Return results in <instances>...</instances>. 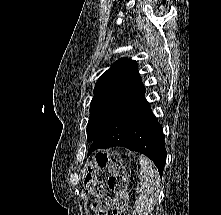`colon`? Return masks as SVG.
<instances>
[{
	"mask_svg": "<svg viewBox=\"0 0 221 215\" xmlns=\"http://www.w3.org/2000/svg\"><path fill=\"white\" fill-rule=\"evenodd\" d=\"M108 168L111 176L108 180L114 198L105 194L102 173ZM84 183L93 197L92 211L94 215H130L129 196L127 193V175L120 156L114 152H97L92 157L84 176Z\"/></svg>",
	"mask_w": 221,
	"mask_h": 215,
	"instance_id": "obj_1",
	"label": "colon"
}]
</instances>
